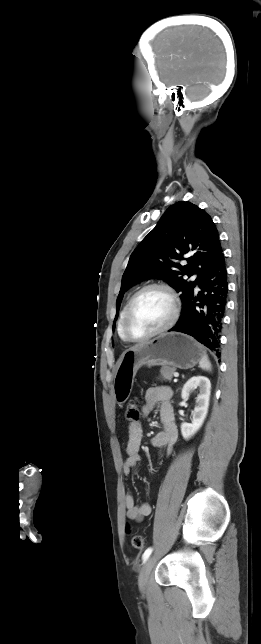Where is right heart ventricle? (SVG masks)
<instances>
[{
    "mask_svg": "<svg viewBox=\"0 0 261 644\" xmlns=\"http://www.w3.org/2000/svg\"><path fill=\"white\" fill-rule=\"evenodd\" d=\"M126 306H127V303L124 305V307H123V309L121 311V314H120V318H119V322H118V334H119L120 339L123 342L128 343L129 341L125 338V336L123 334V330H122V320H123V316H124Z\"/></svg>",
    "mask_w": 261,
    "mask_h": 644,
    "instance_id": "right-heart-ventricle-1",
    "label": "right heart ventricle"
}]
</instances>
